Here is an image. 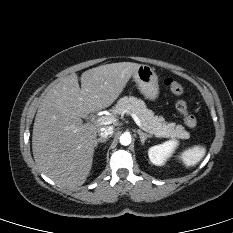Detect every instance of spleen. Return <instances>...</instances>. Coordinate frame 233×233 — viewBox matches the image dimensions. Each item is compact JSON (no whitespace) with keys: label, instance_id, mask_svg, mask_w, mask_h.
Returning <instances> with one entry per match:
<instances>
[{"label":"spleen","instance_id":"spleen-1","mask_svg":"<svg viewBox=\"0 0 233 233\" xmlns=\"http://www.w3.org/2000/svg\"><path fill=\"white\" fill-rule=\"evenodd\" d=\"M205 154V147L196 145L185 150L181 155V159L185 166L188 168L197 165L203 159Z\"/></svg>","mask_w":233,"mask_h":233}]
</instances>
